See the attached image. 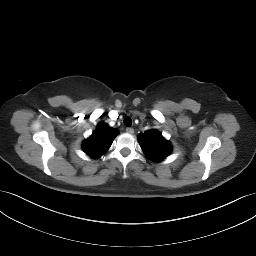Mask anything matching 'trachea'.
Masks as SVG:
<instances>
[{"label":"trachea","instance_id":"trachea-1","mask_svg":"<svg viewBox=\"0 0 256 256\" xmlns=\"http://www.w3.org/2000/svg\"><path fill=\"white\" fill-rule=\"evenodd\" d=\"M124 125L127 127H130L132 125V120L130 117H125L124 118Z\"/></svg>","mask_w":256,"mask_h":256}]
</instances>
